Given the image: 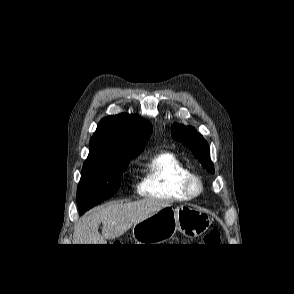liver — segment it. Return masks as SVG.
I'll return each mask as SVG.
<instances>
[{"label": "liver", "instance_id": "liver-1", "mask_svg": "<svg viewBox=\"0 0 294 294\" xmlns=\"http://www.w3.org/2000/svg\"><path fill=\"white\" fill-rule=\"evenodd\" d=\"M168 206L169 201L146 198L95 208L75 224L73 244H106V239L121 236L133 225ZM100 223L103 225L101 234L98 231Z\"/></svg>", "mask_w": 294, "mask_h": 294}]
</instances>
